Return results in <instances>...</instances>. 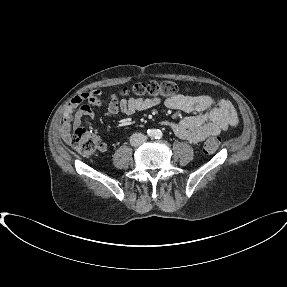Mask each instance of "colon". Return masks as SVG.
<instances>
[{"label": "colon", "instance_id": "1", "mask_svg": "<svg viewBox=\"0 0 287 287\" xmlns=\"http://www.w3.org/2000/svg\"><path fill=\"white\" fill-rule=\"evenodd\" d=\"M181 93L180 87L171 81L139 83L123 91L124 95L134 94L137 98L174 97ZM71 145L80 154L90 156L100 149L99 139L92 132L76 128L71 137ZM220 146V140L211 137L204 143V151L214 153Z\"/></svg>", "mask_w": 287, "mask_h": 287}]
</instances>
